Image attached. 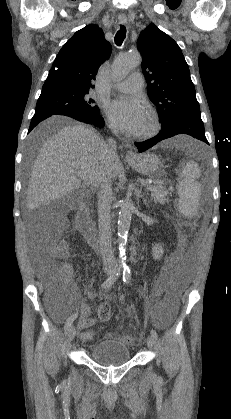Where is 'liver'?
<instances>
[{
  "mask_svg": "<svg viewBox=\"0 0 231 419\" xmlns=\"http://www.w3.org/2000/svg\"><path fill=\"white\" fill-rule=\"evenodd\" d=\"M49 119L44 126L60 122ZM106 142L92 128L72 124L61 128L42 145L27 189V206L35 209L87 186L99 187L104 174L117 177L120 162L109 158ZM81 173L85 178L78 176ZM83 181V182H82Z\"/></svg>",
  "mask_w": 231,
  "mask_h": 419,
  "instance_id": "obj_1",
  "label": "liver"
}]
</instances>
